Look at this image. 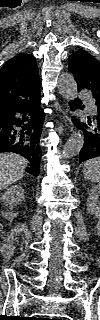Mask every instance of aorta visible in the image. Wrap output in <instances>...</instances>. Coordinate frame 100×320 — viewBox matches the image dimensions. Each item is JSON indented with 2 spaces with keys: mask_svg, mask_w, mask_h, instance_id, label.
Returning a JSON list of instances; mask_svg holds the SVG:
<instances>
[{
  "mask_svg": "<svg viewBox=\"0 0 100 320\" xmlns=\"http://www.w3.org/2000/svg\"><path fill=\"white\" fill-rule=\"evenodd\" d=\"M58 90L66 100H73L77 94V83L70 73H62L58 78ZM84 145V134L77 131L71 135L62 150V157L69 159L77 154Z\"/></svg>",
  "mask_w": 100,
  "mask_h": 320,
  "instance_id": "obj_1",
  "label": "aorta"
}]
</instances>
